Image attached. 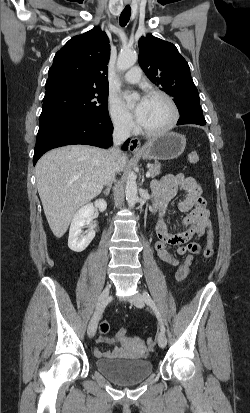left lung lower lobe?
Masks as SVG:
<instances>
[{
	"label": "left lung lower lobe",
	"instance_id": "left-lung-lower-lobe-1",
	"mask_svg": "<svg viewBox=\"0 0 250 413\" xmlns=\"http://www.w3.org/2000/svg\"><path fill=\"white\" fill-rule=\"evenodd\" d=\"M182 124H198V125H205L206 121L204 119L203 113L195 112L192 113L189 110H184L180 113V118L177 122V125Z\"/></svg>",
	"mask_w": 250,
	"mask_h": 413
}]
</instances>
